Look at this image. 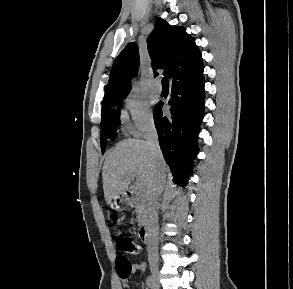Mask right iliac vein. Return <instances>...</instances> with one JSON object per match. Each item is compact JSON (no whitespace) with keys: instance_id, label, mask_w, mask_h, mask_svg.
Wrapping results in <instances>:
<instances>
[{"instance_id":"1","label":"right iliac vein","mask_w":293,"mask_h":289,"mask_svg":"<svg viewBox=\"0 0 293 289\" xmlns=\"http://www.w3.org/2000/svg\"><path fill=\"white\" fill-rule=\"evenodd\" d=\"M151 279L153 282V289H160L159 275L156 265L152 266Z\"/></svg>"}]
</instances>
